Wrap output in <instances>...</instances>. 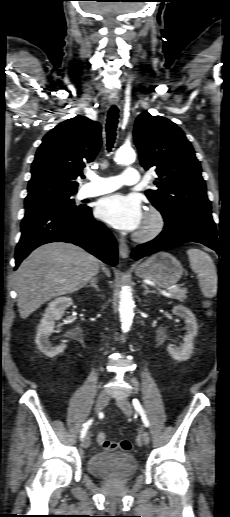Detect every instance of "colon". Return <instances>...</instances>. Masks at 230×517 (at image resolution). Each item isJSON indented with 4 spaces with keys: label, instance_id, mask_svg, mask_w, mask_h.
Segmentation results:
<instances>
[{
    "label": "colon",
    "instance_id": "5ec220e1",
    "mask_svg": "<svg viewBox=\"0 0 230 517\" xmlns=\"http://www.w3.org/2000/svg\"><path fill=\"white\" fill-rule=\"evenodd\" d=\"M206 306L209 307V303H206ZM97 441H98L99 445L106 450L119 449L121 451L128 452L131 450V447H132L130 441L121 440L119 442H114V441L109 440L107 438V436L105 435V433H103V432L98 433Z\"/></svg>",
    "mask_w": 230,
    "mask_h": 517
}]
</instances>
